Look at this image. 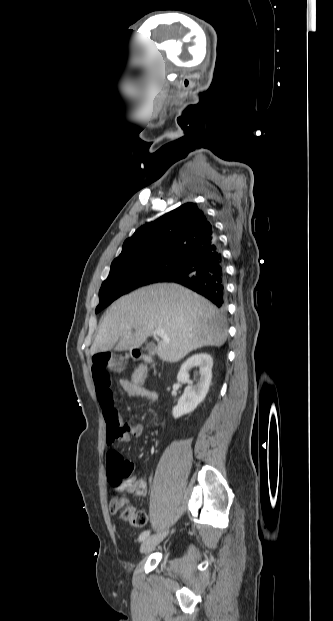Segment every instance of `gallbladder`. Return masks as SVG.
Segmentation results:
<instances>
[{"label":"gallbladder","instance_id":"obj_1","mask_svg":"<svg viewBox=\"0 0 333 621\" xmlns=\"http://www.w3.org/2000/svg\"><path fill=\"white\" fill-rule=\"evenodd\" d=\"M144 349L145 351H148L150 354H153L155 351V347L153 344H148Z\"/></svg>","mask_w":333,"mask_h":621}]
</instances>
